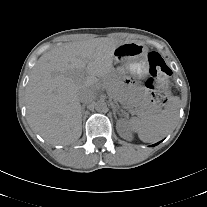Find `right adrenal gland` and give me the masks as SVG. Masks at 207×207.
I'll return each mask as SVG.
<instances>
[{
  "instance_id": "2a0ac1e0",
  "label": "right adrenal gland",
  "mask_w": 207,
  "mask_h": 207,
  "mask_svg": "<svg viewBox=\"0 0 207 207\" xmlns=\"http://www.w3.org/2000/svg\"><path fill=\"white\" fill-rule=\"evenodd\" d=\"M85 104H83L82 106H81V112H82V114H84V111H85Z\"/></svg>"
}]
</instances>
